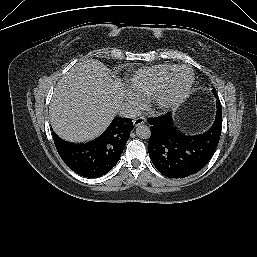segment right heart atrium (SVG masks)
Returning <instances> with one entry per match:
<instances>
[{
  "label": "right heart atrium",
  "mask_w": 257,
  "mask_h": 257,
  "mask_svg": "<svg viewBox=\"0 0 257 257\" xmlns=\"http://www.w3.org/2000/svg\"><path fill=\"white\" fill-rule=\"evenodd\" d=\"M126 99L133 109H140L143 106L142 99L131 91L127 92Z\"/></svg>",
  "instance_id": "right-heart-atrium-1"
}]
</instances>
